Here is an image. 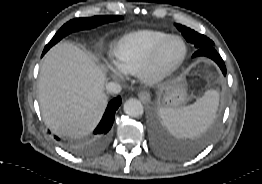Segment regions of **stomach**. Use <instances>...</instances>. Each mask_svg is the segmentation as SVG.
Segmentation results:
<instances>
[{
	"label": "stomach",
	"mask_w": 262,
	"mask_h": 184,
	"mask_svg": "<svg viewBox=\"0 0 262 184\" xmlns=\"http://www.w3.org/2000/svg\"><path fill=\"white\" fill-rule=\"evenodd\" d=\"M186 100V90L183 85H174L165 91L161 101L162 104L169 108H178Z\"/></svg>",
	"instance_id": "obj_1"
}]
</instances>
